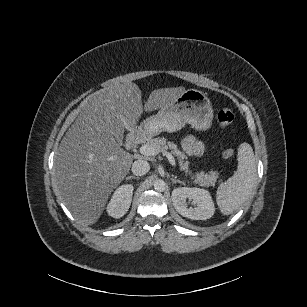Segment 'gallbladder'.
I'll return each instance as SVG.
<instances>
[{
  "instance_id": "gallbladder-1",
  "label": "gallbladder",
  "mask_w": 307,
  "mask_h": 307,
  "mask_svg": "<svg viewBox=\"0 0 307 307\" xmlns=\"http://www.w3.org/2000/svg\"><path fill=\"white\" fill-rule=\"evenodd\" d=\"M109 125L112 127V136L115 137L116 142L121 143L124 140V128L122 123L117 120H111Z\"/></svg>"
}]
</instances>
